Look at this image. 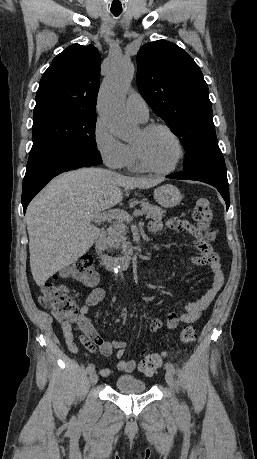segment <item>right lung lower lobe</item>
<instances>
[{
    "label": "right lung lower lobe",
    "instance_id": "98d812e1",
    "mask_svg": "<svg viewBox=\"0 0 257 459\" xmlns=\"http://www.w3.org/2000/svg\"><path fill=\"white\" fill-rule=\"evenodd\" d=\"M102 162L83 151L58 148L31 153L23 180L22 205L24 213L33 197L55 176L80 167L98 165Z\"/></svg>",
    "mask_w": 257,
    "mask_h": 459
}]
</instances>
